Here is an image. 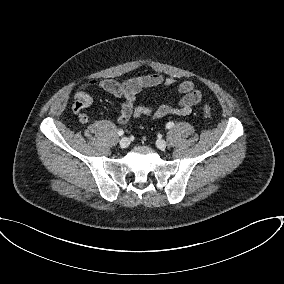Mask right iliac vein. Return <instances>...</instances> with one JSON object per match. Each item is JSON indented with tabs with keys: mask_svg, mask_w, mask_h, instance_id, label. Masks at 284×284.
<instances>
[{
	"mask_svg": "<svg viewBox=\"0 0 284 284\" xmlns=\"http://www.w3.org/2000/svg\"><path fill=\"white\" fill-rule=\"evenodd\" d=\"M130 144V140L126 137H123L120 141H119V145L121 148H127Z\"/></svg>",
	"mask_w": 284,
	"mask_h": 284,
	"instance_id": "right-iliac-vein-1",
	"label": "right iliac vein"
}]
</instances>
